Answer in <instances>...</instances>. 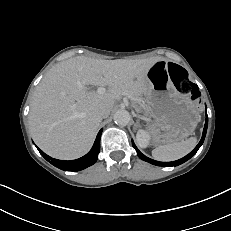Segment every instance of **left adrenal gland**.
<instances>
[{"mask_svg": "<svg viewBox=\"0 0 231 231\" xmlns=\"http://www.w3.org/2000/svg\"><path fill=\"white\" fill-rule=\"evenodd\" d=\"M136 125H137V126H139V125H140L139 120H137Z\"/></svg>", "mask_w": 231, "mask_h": 231, "instance_id": "left-adrenal-gland-1", "label": "left adrenal gland"}]
</instances>
